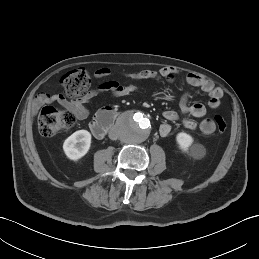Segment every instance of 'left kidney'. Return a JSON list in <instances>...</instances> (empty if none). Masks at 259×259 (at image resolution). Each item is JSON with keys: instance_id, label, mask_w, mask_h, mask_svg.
I'll list each match as a JSON object with an SVG mask.
<instances>
[{"instance_id": "left-kidney-1", "label": "left kidney", "mask_w": 259, "mask_h": 259, "mask_svg": "<svg viewBox=\"0 0 259 259\" xmlns=\"http://www.w3.org/2000/svg\"><path fill=\"white\" fill-rule=\"evenodd\" d=\"M193 137L185 132H180L176 135V142L183 152H188L193 144ZM200 146H193V149H199Z\"/></svg>"}]
</instances>
